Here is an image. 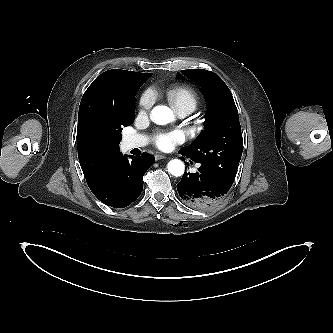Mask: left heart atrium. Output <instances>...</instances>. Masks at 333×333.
Wrapping results in <instances>:
<instances>
[{"mask_svg": "<svg viewBox=\"0 0 333 333\" xmlns=\"http://www.w3.org/2000/svg\"><path fill=\"white\" fill-rule=\"evenodd\" d=\"M183 141V135L180 132L174 131L170 133H160L155 137V143L160 149H169L174 144Z\"/></svg>", "mask_w": 333, "mask_h": 333, "instance_id": "left-heart-atrium-1", "label": "left heart atrium"}]
</instances>
